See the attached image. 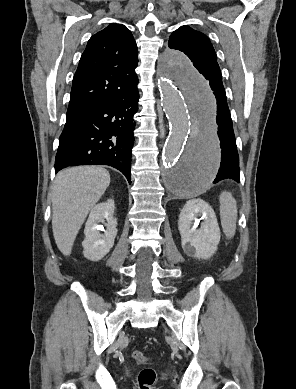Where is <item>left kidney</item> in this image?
<instances>
[{
	"label": "left kidney",
	"instance_id": "5707ae66",
	"mask_svg": "<svg viewBox=\"0 0 296 389\" xmlns=\"http://www.w3.org/2000/svg\"><path fill=\"white\" fill-rule=\"evenodd\" d=\"M198 216L203 219L199 229L196 225L199 224ZM178 229L186 255L209 259L216 252L220 229L215 212L207 202L199 198L187 201L179 215Z\"/></svg>",
	"mask_w": 296,
	"mask_h": 389
}]
</instances>
